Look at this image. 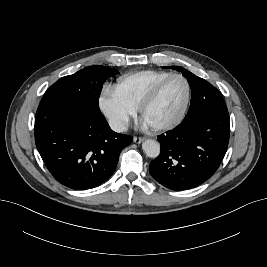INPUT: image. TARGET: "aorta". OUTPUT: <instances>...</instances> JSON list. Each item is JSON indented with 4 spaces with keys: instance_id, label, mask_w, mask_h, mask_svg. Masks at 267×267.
I'll return each instance as SVG.
<instances>
[{
    "instance_id": "aorta-1",
    "label": "aorta",
    "mask_w": 267,
    "mask_h": 267,
    "mask_svg": "<svg viewBox=\"0 0 267 267\" xmlns=\"http://www.w3.org/2000/svg\"><path fill=\"white\" fill-rule=\"evenodd\" d=\"M142 149L150 158H156L160 154V144L152 139L145 140L142 144Z\"/></svg>"
}]
</instances>
